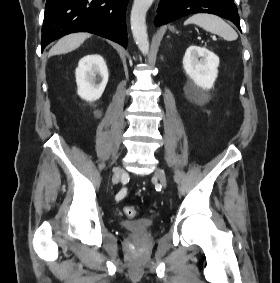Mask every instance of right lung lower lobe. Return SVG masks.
<instances>
[{"label": "right lung lower lobe", "instance_id": "obj_1", "mask_svg": "<svg viewBox=\"0 0 280 283\" xmlns=\"http://www.w3.org/2000/svg\"><path fill=\"white\" fill-rule=\"evenodd\" d=\"M128 0H47L41 50L73 32L100 35L127 48Z\"/></svg>", "mask_w": 280, "mask_h": 283}]
</instances>
